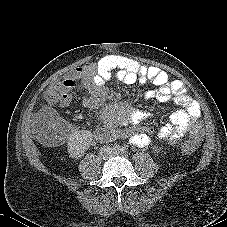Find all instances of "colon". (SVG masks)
I'll return each mask as SVG.
<instances>
[{"label":"colon","instance_id":"colon-1","mask_svg":"<svg viewBox=\"0 0 227 227\" xmlns=\"http://www.w3.org/2000/svg\"><path fill=\"white\" fill-rule=\"evenodd\" d=\"M46 103L54 105L62 100L60 83L51 84L43 93ZM67 125L59 119L50 118L39 123L37 127V138L44 146H56L61 144L67 136ZM196 151L195 142H187L181 147L180 152L184 156L192 155Z\"/></svg>","mask_w":227,"mask_h":227}]
</instances>
